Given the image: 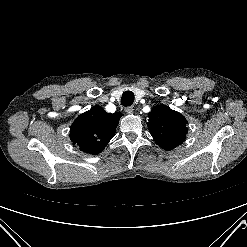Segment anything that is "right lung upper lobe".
I'll return each instance as SVG.
<instances>
[{
	"label": "right lung upper lobe",
	"mask_w": 247,
	"mask_h": 247,
	"mask_svg": "<svg viewBox=\"0 0 247 247\" xmlns=\"http://www.w3.org/2000/svg\"><path fill=\"white\" fill-rule=\"evenodd\" d=\"M121 116V113L110 114L95 105L73 122L70 139L80 150L97 155L113 138Z\"/></svg>",
	"instance_id": "cb5924a9"
}]
</instances>
